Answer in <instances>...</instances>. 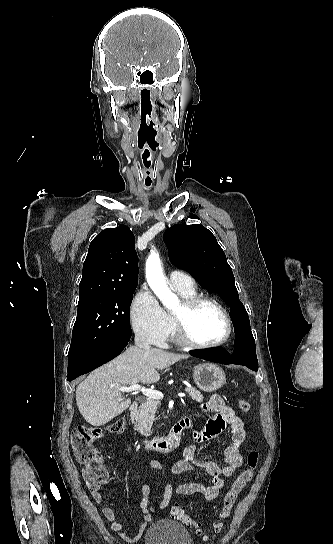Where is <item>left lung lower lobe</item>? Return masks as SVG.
Here are the masks:
<instances>
[{"mask_svg":"<svg viewBox=\"0 0 333 544\" xmlns=\"http://www.w3.org/2000/svg\"><path fill=\"white\" fill-rule=\"evenodd\" d=\"M190 355L222 364L245 365L254 371L258 370V361L254 348L247 350L242 347L239 352L234 351L232 356L222 348L216 350H192Z\"/></svg>","mask_w":333,"mask_h":544,"instance_id":"left-lung-lower-lobe-1","label":"left lung lower lobe"}]
</instances>
